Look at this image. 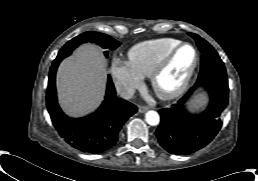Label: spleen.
<instances>
[{
    "instance_id": "3e777b00",
    "label": "spleen",
    "mask_w": 258,
    "mask_h": 181,
    "mask_svg": "<svg viewBox=\"0 0 258 181\" xmlns=\"http://www.w3.org/2000/svg\"><path fill=\"white\" fill-rule=\"evenodd\" d=\"M206 102L207 98L205 94L201 93L188 103V109L190 111L198 110L199 108L203 107L206 104Z\"/></svg>"
}]
</instances>
